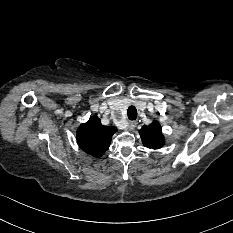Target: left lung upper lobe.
Returning <instances> with one entry per match:
<instances>
[{
    "instance_id": "obj_1",
    "label": "left lung upper lobe",
    "mask_w": 233,
    "mask_h": 233,
    "mask_svg": "<svg viewBox=\"0 0 233 233\" xmlns=\"http://www.w3.org/2000/svg\"><path fill=\"white\" fill-rule=\"evenodd\" d=\"M144 146L150 149H159L164 145V136L161 126L157 121H153L150 125H144L139 130Z\"/></svg>"
}]
</instances>
